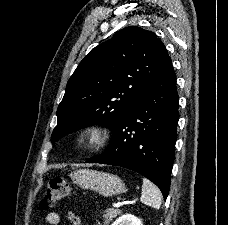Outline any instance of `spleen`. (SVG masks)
I'll use <instances>...</instances> for the list:
<instances>
[{
	"label": "spleen",
	"instance_id": "1",
	"mask_svg": "<svg viewBox=\"0 0 228 225\" xmlns=\"http://www.w3.org/2000/svg\"><path fill=\"white\" fill-rule=\"evenodd\" d=\"M161 199L162 197L158 187H155L148 179H143L141 203L148 205V207H153V209H160Z\"/></svg>",
	"mask_w": 228,
	"mask_h": 225
}]
</instances>
